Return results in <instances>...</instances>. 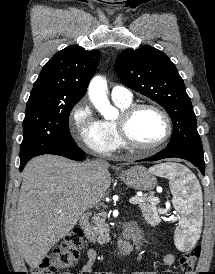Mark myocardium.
<instances>
[{"instance_id": "1", "label": "myocardium", "mask_w": 215, "mask_h": 274, "mask_svg": "<svg viewBox=\"0 0 215 274\" xmlns=\"http://www.w3.org/2000/svg\"><path fill=\"white\" fill-rule=\"evenodd\" d=\"M143 109H151L156 111L164 120L166 131L164 136L157 142L149 145H142L137 143L131 136L129 125L132 118L137 112ZM116 128L123 145L129 149L138 151H153L163 146L172 136L173 124L168 113L160 106L152 103H137L131 104L121 111L119 118L116 120Z\"/></svg>"}]
</instances>
